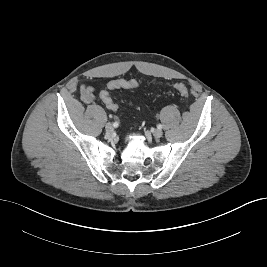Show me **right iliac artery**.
Returning a JSON list of instances; mask_svg holds the SVG:
<instances>
[{
    "mask_svg": "<svg viewBox=\"0 0 267 267\" xmlns=\"http://www.w3.org/2000/svg\"><path fill=\"white\" fill-rule=\"evenodd\" d=\"M118 125H119L118 122H114V123H113V126H114V127H118Z\"/></svg>",
    "mask_w": 267,
    "mask_h": 267,
    "instance_id": "right-iliac-artery-1",
    "label": "right iliac artery"
}]
</instances>
